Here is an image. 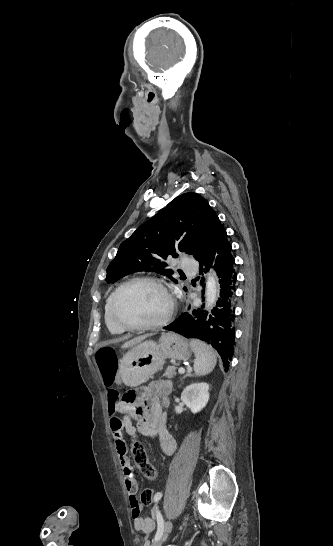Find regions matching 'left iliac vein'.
I'll return each mask as SVG.
<instances>
[{
    "instance_id": "obj_1",
    "label": "left iliac vein",
    "mask_w": 333,
    "mask_h": 546,
    "mask_svg": "<svg viewBox=\"0 0 333 546\" xmlns=\"http://www.w3.org/2000/svg\"><path fill=\"white\" fill-rule=\"evenodd\" d=\"M172 526L166 525L165 532L162 534L159 540L155 541L152 546H162L163 542L167 539L168 534L171 532Z\"/></svg>"
}]
</instances>
